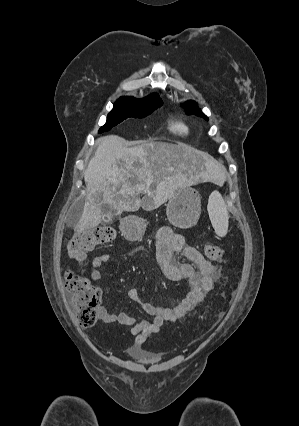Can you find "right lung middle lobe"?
Masks as SVG:
<instances>
[{
    "label": "right lung middle lobe",
    "instance_id": "right-lung-middle-lobe-1",
    "mask_svg": "<svg viewBox=\"0 0 299 426\" xmlns=\"http://www.w3.org/2000/svg\"><path fill=\"white\" fill-rule=\"evenodd\" d=\"M161 104L162 101L157 94L149 95L137 101L118 100L108 114L105 125L100 128L99 132L108 131L129 117L143 118L161 106Z\"/></svg>",
    "mask_w": 299,
    "mask_h": 426
}]
</instances>
